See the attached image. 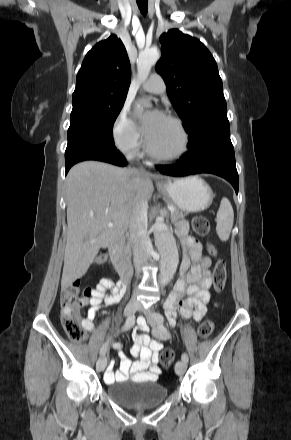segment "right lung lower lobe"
<instances>
[{
    "label": "right lung lower lobe",
    "mask_w": 291,
    "mask_h": 440,
    "mask_svg": "<svg viewBox=\"0 0 291 440\" xmlns=\"http://www.w3.org/2000/svg\"><path fill=\"white\" fill-rule=\"evenodd\" d=\"M84 160H98L118 166L126 165L124 156L114 144L81 138L68 141L65 151L66 174L74 164Z\"/></svg>",
    "instance_id": "98d812e1"
}]
</instances>
